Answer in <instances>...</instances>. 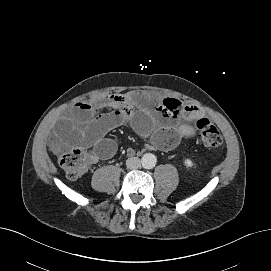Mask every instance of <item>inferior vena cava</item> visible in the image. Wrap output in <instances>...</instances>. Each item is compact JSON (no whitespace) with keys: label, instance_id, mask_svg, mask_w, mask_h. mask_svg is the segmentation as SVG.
<instances>
[{"label":"inferior vena cava","instance_id":"obj_1","mask_svg":"<svg viewBox=\"0 0 271 271\" xmlns=\"http://www.w3.org/2000/svg\"><path fill=\"white\" fill-rule=\"evenodd\" d=\"M126 166L129 169H137L141 166V161L138 157H131L126 160Z\"/></svg>","mask_w":271,"mask_h":271}]
</instances>
